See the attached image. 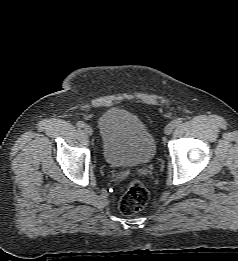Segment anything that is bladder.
I'll use <instances>...</instances> for the list:
<instances>
[{
	"label": "bladder",
	"instance_id": "1",
	"mask_svg": "<svg viewBox=\"0 0 238 261\" xmlns=\"http://www.w3.org/2000/svg\"><path fill=\"white\" fill-rule=\"evenodd\" d=\"M104 160L115 167L150 162L156 153L153 135L134 114L118 108L106 110L98 120Z\"/></svg>",
	"mask_w": 238,
	"mask_h": 261
}]
</instances>
